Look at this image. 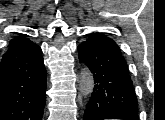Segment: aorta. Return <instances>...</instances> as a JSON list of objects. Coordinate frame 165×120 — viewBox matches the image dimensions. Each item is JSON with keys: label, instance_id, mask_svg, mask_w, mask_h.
<instances>
[{"label": "aorta", "instance_id": "1", "mask_svg": "<svg viewBox=\"0 0 165 120\" xmlns=\"http://www.w3.org/2000/svg\"><path fill=\"white\" fill-rule=\"evenodd\" d=\"M94 78L88 68H83L80 73V92L83 97H88L93 92Z\"/></svg>", "mask_w": 165, "mask_h": 120}]
</instances>
